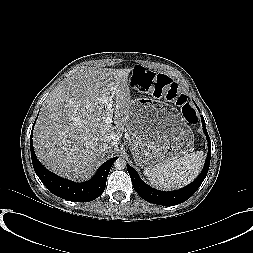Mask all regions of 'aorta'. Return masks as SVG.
<instances>
[{"instance_id":"762f6f07","label":"aorta","mask_w":253,"mask_h":253,"mask_svg":"<svg viewBox=\"0 0 253 253\" xmlns=\"http://www.w3.org/2000/svg\"><path fill=\"white\" fill-rule=\"evenodd\" d=\"M126 160L123 158H117L114 162V167L118 170H122L124 168H126Z\"/></svg>"}]
</instances>
